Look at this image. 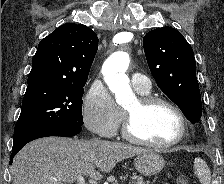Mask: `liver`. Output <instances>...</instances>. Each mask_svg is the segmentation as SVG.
Here are the masks:
<instances>
[{"label":"liver","mask_w":224,"mask_h":184,"mask_svg":"<svg viewBox=\"0 0 224 184\" xmlns=\"http://www.w3.org/2000/svg\"><path fill=\"white\" fill-rule=\"evenodd\" d=\"M147 151L113 141L45 137L28 143L14 157L12 184H66L80 175L100 180L118 162Z\"/></svg>","instance_id":"6515ba94"}]
</instances>
